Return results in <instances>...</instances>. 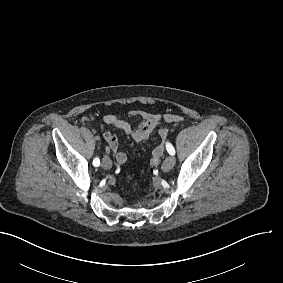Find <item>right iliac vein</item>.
I'll return each instance as SVG.
<instances>
[{"label": "right iliac vein", "mask_w": 283, "mask_h": 283, "mask_svg": "<svg viewBox=\"0 0 283 283\" xmlns=\"http://www.w3.org/2000/svg\"><path fill=\"white\" fill-rule=\"evenodd\" d=\"M101 165L104 169L108 170L112 167V162L110 158H108L107 156H104L102 159Z\"/></svg>", "instance_id": "63e3f726"}]
</instances>
